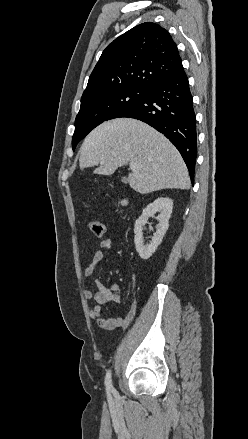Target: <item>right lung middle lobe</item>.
I'll list each match as a JSON object with an SVG mask.
<instances>
[{
	"instance_id": "right-lung-middle-lobe-1",
	"label": "right lung middle lobe",
	"mask_w": 248,
	"mask_h": 439,
	"mask_svg": "<svg viewBox=\"0 0 248 439\" xmlns=\"http://www.w3.org/2000/svg\"><path fill=\"white\" fill-rule=\"evenodd\" d=\"M146 91L141 88H122L82 103L75 120L73 151L90 131L102 122L122 115L133 107Z\"/></svg>"
}]
</instances>
